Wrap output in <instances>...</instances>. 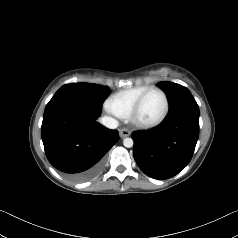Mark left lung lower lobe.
<instances>
[{"mask_svg":"<svg viewBox=\"0 0 238 238\" xmlns=\"http://www.w3.org/2000/svg\"><path fill=\"white\" fill-rule=\"evenodd\" d=\"M198 137L199 107L193 96H186L171 105L161 124L132 134L134 159L149 177L171 178L190 162Z\"/></svg>","mask_w":238,"mask_h":238,"instance_id":"left-lung-lower-lobe-1","label":"left lung lower lobe"}]
</instances>
